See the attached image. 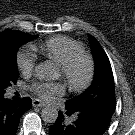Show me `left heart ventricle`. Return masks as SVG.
Listing matches in <instances>:
<instances>
[{
    "label": "left heart ventricle",
    "mask_w": 135,
    "mask_h": 135,
    "mask_svg": "<svg viewBox=\"0 0 135 135\" xmlns=\"http://www.w3.org/2000/svg\"><path fill=\"white\" fill-rule=\"evenodd\" d=\"M86 75V66L83 62L79 63L77 67L75 68L72 78L75 82H81ZM58 77H62L61 70L58 71Z\"/></svg>",
    "instance_id": "left-heart-ventricle-1"
}]
</instances>
